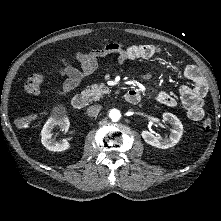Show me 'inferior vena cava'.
<instances>
[{"instance_id":"602c4592","label":"inferior vena cava","mask_w":221,"mask_h":221,"mask_svg":"<svg viewBox=\"0 0 221 221\" xmlns=\"http://www.w3.org/2000/svg\"><path fill=\"white\" fill-rule=\"evenodd\" d=\"M101 105H92L87 109V115L90 117H95L101 110Z\"/></svg>"}]
</instances>
